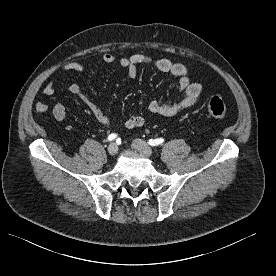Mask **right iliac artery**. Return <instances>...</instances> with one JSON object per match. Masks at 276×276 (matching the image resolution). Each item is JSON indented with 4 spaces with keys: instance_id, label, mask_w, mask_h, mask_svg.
<instances>
[{
    "instance_id": "obj_1",
    "label": "right iliac artery",
    "mask_w": 276,
    "mask_h": 276,
    "mask_svg": "<svg viewBox=\"0 0 276 276\" xmlns=\"http://www.w3.org/2000/svg\"><path fill=\"white\" fill-rule=\"evenodd\" d=\"M116 137H117V134L112 133V134H110V135L108 136V140H109V141H112V140H114Z\"/></svg>"
}]
</instances>
